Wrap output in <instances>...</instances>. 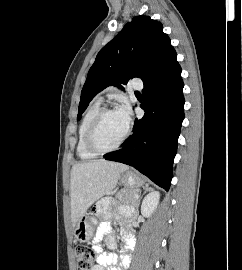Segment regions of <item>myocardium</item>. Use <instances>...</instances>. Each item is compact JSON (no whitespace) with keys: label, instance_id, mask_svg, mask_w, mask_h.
<instances>
[{"label":"myocardium","instance_id":"myocardium-1","mask_svg":"<svg viewBox=\"0 0 242 270\" xmlns=\"http://www.w3.org/2000/svg\"><path fill=\"white\" fill-rule=\"evenodd\" d=\"M113 112H117V110L114 109V108H103V109H101L97 113V115L94 117V119L92 120V122L89 125V128L87 130L86 137H85L86 148L90 152H92V153H94L96 155H102V154H107V153L116 151L117 149H119L124 144V142L127 140L128 136H129L130 128H129V126H127L124 135L118 141V143H116L114 146L109 147V148H101V147H98L95 144V140H94L95 134H96V131H97L101 121L103 120V118L106 115H108L110 113H113Z\"/></svg>","mask_w":242,"mask_h":270}]
</instances>
